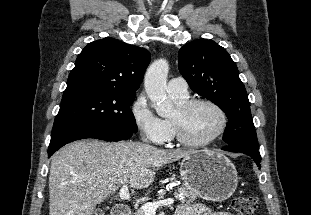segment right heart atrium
<instances>
[{
    "mask_svg": "<svg viewBox=\"0 0 311 215\" xmlns=\"http://www.w3.org/2000/svg\"><path fill=\"white\" fill-rule=\"evenodd\" d=\"M130 111L137 129L149 142L164 144L171 139L169 123L155 114L144 94L135 98Z\"/></svg>",
    "mask_w": 311,
    "mask_h": 215,
    "instance_id": "right-heart-atrium-1",
    "label": "right heart atrium"
}]
</instances>
